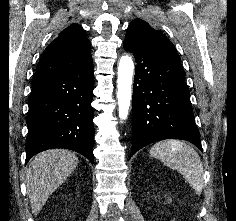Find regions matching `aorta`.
<instances>
[{"mask_svg": "<svg viewBox=\"0 0 236 221\" xmlns=\"http://www.w3.org/2000/svg\"><path fill=\"white\" fill-rule=\"evenodd\" d=\"M134 71V63L130 56L121 57L118 65L117 79V99L119 107L120 120H126L129 112L131 96H132V77Z\"/></svg>", "mask_w": 236, "mask_h": 221, "instance_id": "1", "label": "aorta"}]
</instances>
